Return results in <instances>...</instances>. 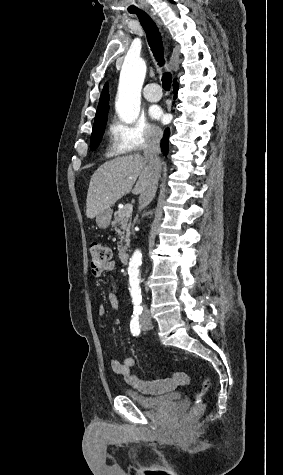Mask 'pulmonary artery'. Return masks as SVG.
Segmentation results:
<instances>
[{
  "instance_id": "obj_1",
  "label": "pulmonary artery",
  "mask_w": 283,
  "mask_h": 475,
  "mask_svg": "<svg viewBox=\"0 0 283 475\" xmlns=\"http://www.w3.org/2000/svg\"><path fill=\"white\" fill-rule=\"evenodd\" d=\"M119 90H142V89H119ZM162 93L161 88L157 83H151L144 89V94L146 95L145 98L147 101L150 102H157L160 100V96Z\"/></svg>"
}]
</instances>
